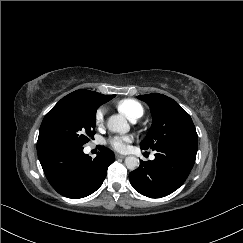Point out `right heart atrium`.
I'll return each instance as SVG.
<instances>
[{"label": "right heart atrium", "mask_w": 243, "mask_h": 243, "mask_svg": "<svg viewBox=\"0 0 243 243\" xmlns=\"http://www.w3.org/2000/svg\"><path fill=\"white\" fill-rule=\"evenodd\" d=\"M104 119H105V111H104V109L103 108H98L95 111V117H94L96 126L97 127L103 126Z\"/></svg>", "instance_id": "1"}]
</instances>
